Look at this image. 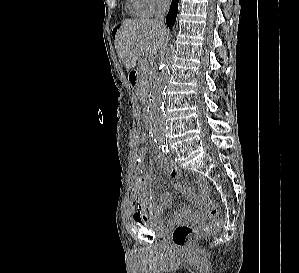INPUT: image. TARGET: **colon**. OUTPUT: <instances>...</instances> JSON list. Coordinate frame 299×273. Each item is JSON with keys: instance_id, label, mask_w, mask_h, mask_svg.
<instances>
[{"instance_id": "5ec220e1", "label": "colon", "mask_w": 299, "mask_h": 273, "mask_svg": "<svg viewBox=\"0 0 299 273\" xmlns=\"http://www.w3.org/2000/svg\"><path fill=\"white\" fill-rule=\"evenodd\" d=\"M140 141L143 144L142 148L149 149V137L147 134L141 135ZM199 185L204 191L206 188L205 182L203 180H199ZM208 213L213 220H210L206 223L195 225L183 223L176 225L171 232V240L173 244L178 247H184L188 245L195 237L206 235L216 229L219 223L214 220V218L219 213L218 205L214 202H211L209 204Z\"/></svg>"}]
</instances>
